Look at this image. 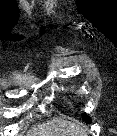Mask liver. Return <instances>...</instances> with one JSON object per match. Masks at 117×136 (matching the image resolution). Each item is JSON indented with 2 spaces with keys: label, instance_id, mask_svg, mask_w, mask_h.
<instances>
[{
  "label": "liver",
  "instance_id": "obj_1",
  "mask_svg": "<svg viewBox=\"0 0 117 136\" xmlns=\"http://www.w3.org/2000/svg\"><path fill=\"white\" fill-rule=\"evenodd\" d=\"M29 134V136H81L84 133L79 123L54 118L38 126Z\"/></svg>",
  "mask_w": 117,
  "mask_h": 136
}]
</instances>
